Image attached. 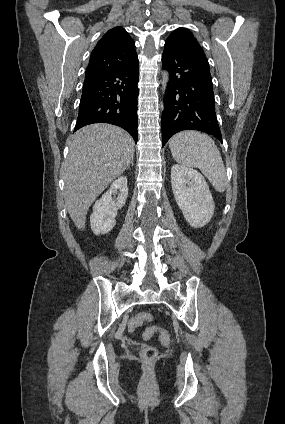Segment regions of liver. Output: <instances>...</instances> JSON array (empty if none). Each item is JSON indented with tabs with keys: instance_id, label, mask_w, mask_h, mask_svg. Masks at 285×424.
Wrapping results in <instances>:
<instances>
[{
	"instance_id": "obj_1",
	"label": "liver",
	"mask_w": 285,
	"mask_h": 424,
	"mask_svg": "<svg viewBox=\"0 0 285 424\" xmlns=\"http://www.w3.org/2000/svg\"><path fill=\"white\" fill-rule=\"evenodd\" d=\"M132 137L120 127L96 123L78 130L70 139L63 178L68 213L78 229L95 199L130 165Z\"/></svg>"
}]
</instances>
